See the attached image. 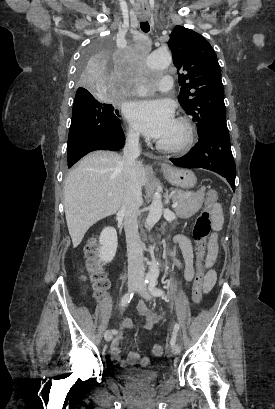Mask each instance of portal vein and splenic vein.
Instances as JSON below:
<instances>
[{"label": "portal vein and splenic vein", "instance_id": "obj_1", "mask_svg": "<svg viewBox=\"0 0 275 409\" xmlns=\"http://www.w3.org/2000/svg\"><path fill=\"white\" fill-rule=\"evenodd\" d=\"M109 194H111V192H109ZM177 205H178V202H174V205H172L173 209L174 207H177Z\"/></svg>", "mask_w": 275, "mask_h": 409}]
</instances>
